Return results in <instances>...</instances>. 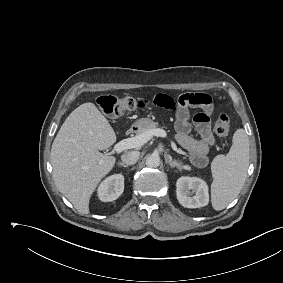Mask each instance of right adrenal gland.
Listing matches in <instances>:
<instances>
[{
  "label": "right adrenal gland",
  "mask_w": 283,
  "mask_h": 283,
  "mask_svg": "<svg viewBox=\"0 0 283 283\" xmlns=\"http://www.w3.org/2000/svg\"><path fill=\"white\" fill-rule=\"evenodd\" d=\"M118 165H119V166H122V167H124V168H128V167H129L128 165H126V164H124V163H122V162H119Z\"/></svg>",
  "instance_id": "right-adrenal-gland-1"
}]
</instances>
